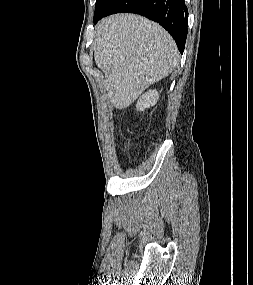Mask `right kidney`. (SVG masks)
Returning a JSON list of instances; mask_svg holds the SVG:
<instances>
[{
	"label": "right kidney",
	"instance_id": "right-kidney-1",
	"mask_svg": "<svg viewBox=\"0 0 253 285\" xmlns=\"http://www.w3.org/2000/svg\"><path fill=\"white\" fill-rule=\"evenodd\" d=\"M158 99V92L156 90H149L139 98L136 108L139 111H144L146 108L154 106Z\"/></svg>",
	"mask_w": 253,
	"mask_h": 285
}]
</instances>
